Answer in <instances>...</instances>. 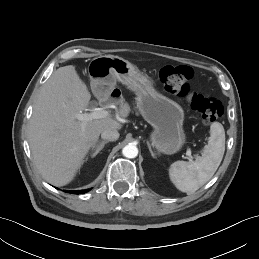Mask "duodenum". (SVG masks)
Returning a JSON list of instances; mask_svg holds the SVG:
<instances>
[{"label": "duodenum", "mask_w": 259, "mask_h": 259, "mask_svg": "<svg viewBox=\"0 0 259 259\" xmlns=\"http://www.w3.org/2000/svg\"><path fill=\"white\" fill-rule=\"evenodd\" d=\"M121 97V93L118 89H113L106 97L101 99V103H112L118 101Z\"/></svg>", "instance_id": "duodenum-1"}]
</instances>
